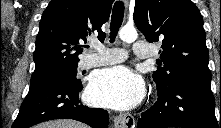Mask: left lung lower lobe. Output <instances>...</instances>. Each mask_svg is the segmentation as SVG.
Wrapping results in <instances>:
<instances>
[{
    "instance_id": "1",
    "label": "left lung lower lobe",
    "mask_w": 221,
    "mask_h": 128,
    "mask_svg": "<svg viewBox=\"0 0 221 128\" xmlns=\"http://www.w3.org/2000/svg\"><path fill=\"white\" fill-rule=\"evenodd\" d=\"M214 109L210 82L185 81L158 92L157 102L138 119V128H219Z\"/></svg>"
}]
</instances>
